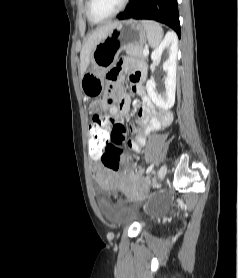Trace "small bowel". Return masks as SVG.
<instances>
[{"label":"small bowel","instance_id":"obj_1","mask_svg":"<svg viewBox=\"0 0 238 278\" xmlns=\"http://www.w3.org/2000/svg\"><path fill=\"white\" fill-rule=\"evenodd\" d=\"M127 60V55H118L116 59V64H112V67H108V71L105 72L106 81H111V85L114 86V92L119 100L118 105V116L122 117L128 114L130 110L131 99L129 95L123 93L120 84V80H117V76H121L123 72V64ZM147 68L144 63L137 62L133 64V68L129 75V80L131 83L130 90L132 93L137 94L141 97L143 101L142 107L139 109L138 117L133 125L130 126L131 132L134 134L133 138H123V143H129V148L134 153H139L144 145L146 144L148 135L163 127L168 125L172 120L171 112L156 108L150 98L148 97L146 90L143 86V81L146 77ZM105 98H114V93H105ZM109 113L117 112V105H110L108 109ZM93 124H102L103 127L106 126V121L100 113H95L93 116ZM119 127H111V133L107 134V138L110 144H116L115 141L110 139L111 137H126V132H128V127H124L122 123L117 121ZM90 130H101V129H90ZM93 135H91L92 137ZM105 167V166H104ZM106 168V167H105ZM113 171L106 168L101 175V183L105 187L112 189L123 188L126 184L135 180V176L132 175L124 181L117 180Z\"/></svg>","mask_w":238,"mask_h":278}]
</instances>
